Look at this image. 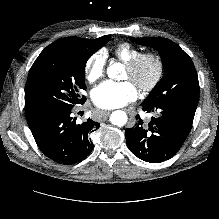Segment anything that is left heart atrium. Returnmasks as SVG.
Listing matches in <instances>:
<instances>
[{"label": "left heart atrium", "mask_w": 219, "mask_h": 219, "mask_svg": "<svg viewBox=\"0 0 219 219\" xmlns=\"http://www.w3.org/2000/svg\"><path fill=\"white\" fill-rule=\"evenodd\" d=\"M136 98L137 89L130 81H105L92 91V100L101 109L122 107Z\"/></svg>", "instance_id": "1"}]
</instances>
